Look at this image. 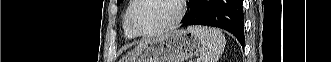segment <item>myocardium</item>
<instances>
[{"label":"myocardium","mask_w":331,"mask_h":62,"mask_svg":"<svg viewBox=\"0 0 331 62\" xmlns=\"http://www.w3.org/2000/svg\"><path fill=\"white\" fill-rule=\"evenodd\" d=\"M142 1L143 0H134L133 4L131 6V9L129 11V14H128V23H129L130 29L136 36L152 37V36L160 35L162 33H165L167 31H170V30L174 29L175 27H177L183 18V15H184L183 1L182 0H173L176 4L177 10H178L177 15L173 21H171L169 24H167L159 29H155L152 31H141L135 24L134 13Z\"/></svg>","instance_id":"myocardium-1"}]
</instances>
